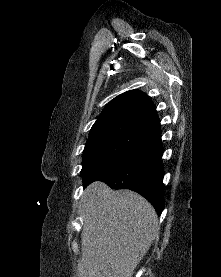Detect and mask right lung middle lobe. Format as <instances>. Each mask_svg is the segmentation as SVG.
<instances>
[{
	"label": "right lung middle lobe",
	"mask_w": 221,
	"mask_h": 277,
	"mask_svg": "<svg viewBox=\"0 0 221 277\" xmlns=\"http://www.w3.org/2000/svg\"><path fill=\"white\" fill-rule=\"evenodd\" d=\"M146 136L141 124L93 128L83 152V181L99 177L118 166Z\"/></svg>",
	"instance_id": "right-lung-middle-lobe-1"
}]
</instances>
